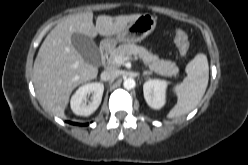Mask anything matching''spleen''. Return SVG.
<instances>
[{
  "label": "spleen",
  "instance_id": "3e777b00",
  "mask_svg": "<svg viewBox=\"0 0 248 165\" xmlns=\"http://www.w3.org/2000/svg\"><path fill=\"white\" fill-rule=\"evenodd\" d=\"M187 77L174 87L177 104L167 114L168 118H178L193 110L205 94L209 66L205 54H197L186 66Z\"/></svg>",
  "mask_w": 248,
  "mask_h": 165
}]
</instances>
